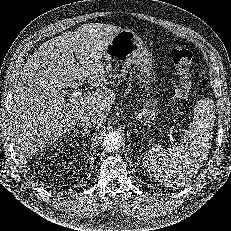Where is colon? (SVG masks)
<instances>
[{"label":"colon","instance_id":"colon-1","mask_svg":"<svg viewBox=\"0 0 231 231\" xmlns=\"http://www.w3.org/2000/svg\"><path fill=\"white\" fill-rule=\"evenodd\" d=\"M170 59L179 78V83L175 88V96L180 100L188 99L191 95L192 52L186 48L175 47L170 51Z\"/></svg>","mask_w":231,"mask_h":231}]
</instances>
